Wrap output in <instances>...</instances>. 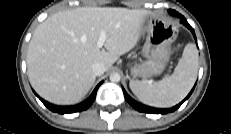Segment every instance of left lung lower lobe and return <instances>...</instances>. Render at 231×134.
<instances>
[{
	"instance_id": "left-lung-lower-lobe-1",
	"label": "left lung lower lobe",
	"mask_w": 231,
	"mask_h": 134,
	"mask_svg": "<svg viewBox=\"0 0 231 134\" xmlns=\"http://www.w3.org/2000/svg\"><path fill=\"white\" fill-rule=\"evenodd\" d=\"M176 15L175 16H178L181 18V23H183L185 26H187L193 33L194 37H195V32L193 30V28L188 24V22L186 21V19L181 15L179 14L178 12H176ZM196 39V37H195ZM195 86L193 87V89L191 90V92L188 94V96L181 102L179 103L178 105L172 107V108H169V109H158V108H152V107H148V106H144L138 102H136L135 100H133L127 93L126 91L123 89V93H124V96H125V99L127 100V102L133 107L135 108L136 110L140 111V112H145V113H156V114H166V113H169V112H173L175 111L177 108H179L181 106V104L187 100L189 98V96L192 94L193 90H194Z\"/></svg>"
}]
</instances>
